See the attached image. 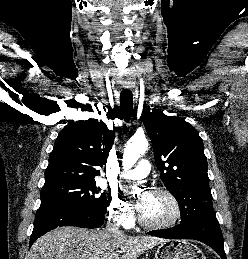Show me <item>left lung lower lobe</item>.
Here are the masks:
<instances>
[{
	"label": "left lung lower lobe",
	"instance_id": "obj_1",
	"mask_svg": "<svg viewBox=\"0 0 248 259\" xmlns=\"http://www.w3.org/2000/svg\"><path fill=\"white\" fill-rule=\"evenodd\" d=\"M148 234L166 239L198 240L213 248L222 259H226L223 237L216 216L194 219L169 229L150 231Z\"/></svg>",
	"mask_w": 248,
	"mask_h": 259
}]
</instances>
